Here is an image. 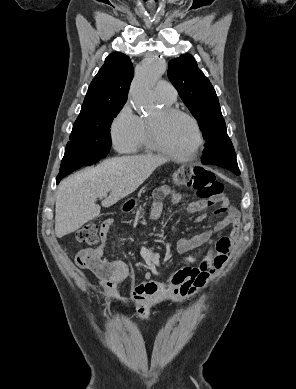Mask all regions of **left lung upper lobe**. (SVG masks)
<instances>
[{"label":"left lung upper lobe","mask_w":296,"mask_h":389,"mask_svg":"<svg viewBox=\"0 0 296 389\" xmlns=\"http://www.w3.org/2000/svg\"><path fill=\"white\" fill-rule=\"evenodd\" d=\"M168 78L178 90L187 108L199 121V127L209 147L226 130L219 100L209 79L198 68L190 54L169 61Z\"/></svg>","instance_id":"obj_1"}]
</instances>
